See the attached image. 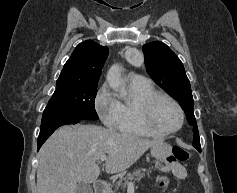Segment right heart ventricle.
I'll return each mask as SVG.
<instances>
[{"mask_svg": "<svg viewBox=\"0 0 237 193\" xmlns=\"http://www.w3.org/2000/svg\"><path fill=\"white\" fill-rule=\"evenodd\" d=\"M128 91L130 99L120 102V115L117 130L132 136H158L144 128L139 121V109L143 102L157 94L149 83L129 82Z\"/></svg>", "mask_w": 237, "mask_h": 193, "instance_id": "right-heart-ventricle-1", "label": "right heart ventricle"}]
</instances>
